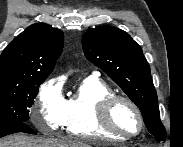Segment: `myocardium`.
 Listing matches in <instances>:
<instances>
[{
	"instance_id": "f54148a6",
	"label": "myocardium",
	"mask_w": 183,
	"mask_h": 147,
	"mask_svg": "<svg viewBox=\"0 0 183 147\" xmlns=\"http://www.w3.org/2000/svg\"><path fill=\"white\" fill-rule=\"evenodd\" d=\"M122 101L127 103L136 113L138 116L139 122H140V128L139 131L135 134H127L124 132H121L118 130L115 125L112 122L111 119V111L117 102ZM97 118L99 124L109 133H111L114 136H117L121 139H132L135 137H138L142 134L145 128V120L144 116L140 110V108L137 106V104L130 98L119 95V94H111L102 100H100L97 104Z\"/></svg>"
}]
</instances>
